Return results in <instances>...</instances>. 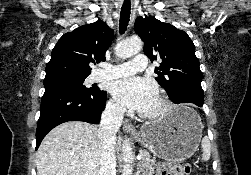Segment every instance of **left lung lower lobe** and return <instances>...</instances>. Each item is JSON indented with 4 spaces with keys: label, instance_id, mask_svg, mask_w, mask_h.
<instances>
[{
    "label": "left lung lower lobe",
    "instance_id": "left-lung-lower-lobe-1",
    "mask_svg": "<svg viewBox=\"0 0 251 175\" xmlns=\"http://www.w3.org/2000/svg\"><path fill=\"white\" fill-rule=\"evenodd\" d=\"M169 97L175 104H185L180 111L182 118L192 120L201 116L203 112L201 107L204 103V94L181 88L174 91Z\"/></svg>",
    "mask_w": 251,
    "mask_h": 175
}]
</instances>
